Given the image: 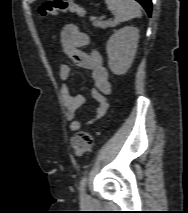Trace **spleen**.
<instances>
[{"label": "spleen", "mask_w": 188, "mask_h": 213, "mask_svg": "<svg viewBox=\"0 0 188 213\" xmlns=\"http://www.w3.org/2000/svg\"><path fill=\"white\" fill-rule=\"evenodd\" d=\"M109 10L115 12L117 22L141 17V8L135 0H105Z\"/></svg>", "instance_id": "1"}]
</instances>
